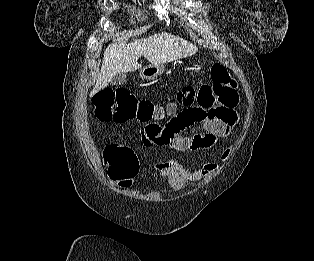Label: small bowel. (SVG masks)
Listing matches in <instances>:
<instances>
[{"mask_svg": "<svg viewBox=\"0 0 314 261\" xmlns=\"http://www.w3.org/2000/svg\"><path fill=\"white\" fill-rule=\"evenodd\" d=\"M237 100L225 105L211 108L181 109L180 113L171 116V120H164V124H154L152 129L148 125L140 130L145 146L156 148H170L173 151L210 150L219 139L230 135L233 127L238 123L235 110ZM201 131H196V127ZM229 150L222 154L225 160ZM218 165L206 163L198 167H186L177 161H162L154 165V170L167 181L174 191H179L190 182H199L217 171Z\"/></svg>", "mask_w": 314, "mask_h": 261, "instance_id": "obj_1", "label": "small bowel"}]
</instances>
